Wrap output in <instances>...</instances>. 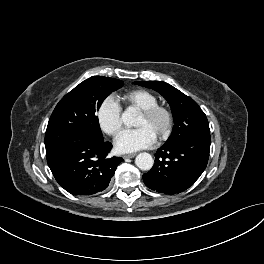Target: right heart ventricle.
<instances>
[{"label":"right heart ventricle","instance_id":"right-heart-ventricle-1","mask_svg":"<svg viewBox=\"0 0 264 264\" xmlns=\"http://www.w3.org/2000/svg\"><path fill=\"white\" fill-rule=\"evenodd\" d=\"M118 99L124 104L143 110L158 104V98L145 89H133L121 94Z\"/></svg>","mask_w":264,"mask_h":264}]
</instances>
